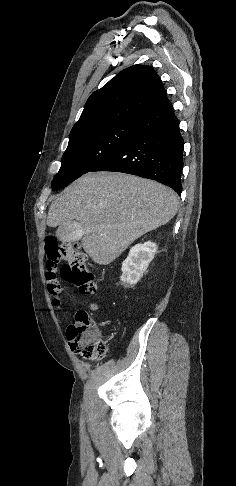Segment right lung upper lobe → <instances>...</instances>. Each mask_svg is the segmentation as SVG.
<instances>
[{
    "mask_svg": "<svg viewBox=\"0 0 236 486\" xmlns=\"http://www.w3.org/2000/svg\"><path fill=\"white\" fill-rule=\"evenodd\" d=\"M171 106L155 70L148 65H133L90 95L70 137L114 124L139 123Z\"/></svg>",
    "mask_w": 236,
    "mask_h": 486,
    "instance_id": "right-lung-upper-lobe-1",
    "label": "right lung upper lobe"
}]
</instances>
